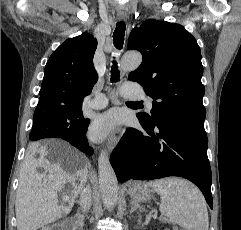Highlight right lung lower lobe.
<instances>
[{
	"mask_svg": "<svg viewBox=\"0 0 241 230\" xmlns=\"http://www.w3.org/2000/svg\"><path fill=\"white\" fill-rule=\"evenodd\" d=\"M34 114L39 115L41 113L37 114L35 111ZM87 129H88V125L85 128H83L81 133L67 134V133L55 132V133H51V134H52V136H54V138H61V139L68 141L71 145L75 146L80 151L91 156L93 154V149L90 146H88V141H87V137H86ZM38 130H40V127L36 124H33L31 133H35Z\"/></svg>",
	"mask_w": 241,
	"mask_h": 230,
	"instance_id": "98d812e1",
	"label": "right lung lower lobe"
}]
</instances>
